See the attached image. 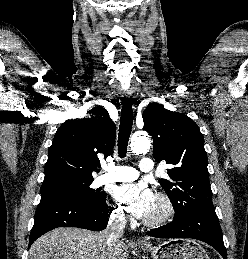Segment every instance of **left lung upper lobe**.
Returning a JSON list of instances; mask_svg holds the SVG:
<instances>
[{"label":"left lung upper lobe","instance_id":"obj_1","mask_svg":"<svg viewBox=\"0 0 248 259\" xmlns=\"http://www.w3.org/2000/svg\"><path fill=\"white\" fill-rule=\"evenodd\" d=\"M144 129L154 140L157 162L174 165L170 180L160 179L170 198L175 217L214 210L204 139L197 124L182 113L150 104L143 113Z\"/></svg>","mask_w":248,"mask_h":259}]
</instances>
